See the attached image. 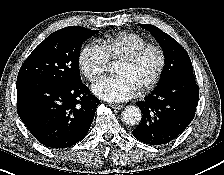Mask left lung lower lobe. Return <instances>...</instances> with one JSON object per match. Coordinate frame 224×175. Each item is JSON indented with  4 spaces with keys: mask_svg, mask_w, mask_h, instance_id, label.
<instances>
[{
    "mask_svg": "<svg viewBox=\"0 0 224 175\" xmlns=\"http://www.w3.org/2000/svg\"><path fill=\"white\" fill-rule=\"evenodd\" d=\"M199 87L193 74H180L157 87L139 101L143 113L133 136L149 145H163L180 135L193 120Z\"/></svg>",
    "mask_w": 224,
    "mask_h": 175,
    "instance_id": "left-lung-lower-lobe-1",
    "label": "left lung lower lobe"
}]
</instances>
